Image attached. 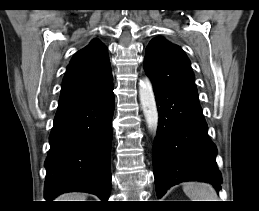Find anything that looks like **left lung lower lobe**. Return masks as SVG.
Listing matches in <instances>:
<instances>
[{"label":"left lung lower lobe","mask_w":259,"mask_h":211,"mask_svg":"<svg viewBox=\"0 0 259 211\" xmlns=\"http://www.w3.org/2000/svg\"><path fill=\"white\" fill-rule=\"evenodd\" d=\"M159 125L153 145V167L158 197L171 186L189 180L213 183L222 176L216 166V146L208 136L198 95L154 86Z\"/></svg>","instance_id":"left-lung-lower-lobe-1"}]
</instances>
